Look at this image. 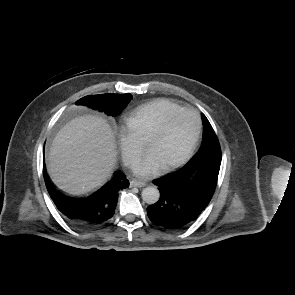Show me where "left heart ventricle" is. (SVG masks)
Returning a JSON list of instances; mask_svg holds the SVG:
<instances>
[{
  "label": "left heart ventricle",
  "mask_w": 295,
  "mask_h": 295,
  "mask_svg": "<svg viewBox=\"0 0 295 295\" xmlns=\"http://www.w3.org/2000/svg\"><path fill=\"white\" fill-rule=\"evenodd\" d=\"M195 130L194 116L180 114L172 120L163 136L148 146L147 152L154 156L161 167L173 162L188 149Z\"/></svg>",
  "instance_id": "b2bd125f"
}]
</instances>
